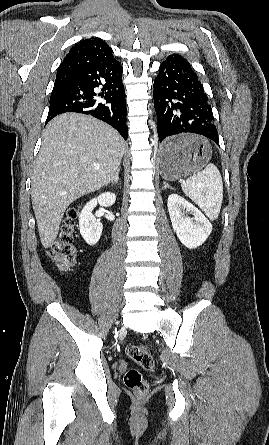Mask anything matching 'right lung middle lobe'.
<instances>
[{"instance_id":"obj_1","label":"right lung middle lobe","mask_w":269,"mask_h":445,"mask_svg":"<svg viewBox=\"0 0 269 445\" xmlns=\"http://www.w3.org/2000/svg\"><path fill=\"white\" fill-rule=\"evenodd\" d=\"M62 88L54 87L51 93L50 102L62 95Z\"/></svg>"}]
</instances>
